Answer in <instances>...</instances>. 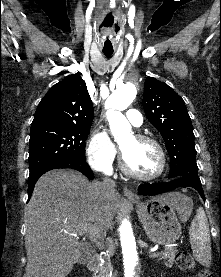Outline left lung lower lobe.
Masks as SVG:
<instances>
[{
	"mask_svg": "<svg viewBox=\"0 0 221 277\" xmlns=\"http://www.w3.org/2000/svg\"><path fill=\"white\" fill-rule=\"evenodd\" d=\"M179 187H192L199 192V194L201 195V197L203 199H205L201 181L183 178V177L174 178V179H171L169 182H165V183L141 184L138 187V194L139 195H156V194H161V193L171 191V190H173L175 188H179Z\"/></svg>",
	"mask_w": 221,
	"mask_h": 277,
	"instance_id": "obj_1",
	"label": "left lung lower lobe"
}]
</instances>
